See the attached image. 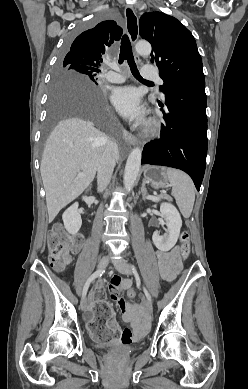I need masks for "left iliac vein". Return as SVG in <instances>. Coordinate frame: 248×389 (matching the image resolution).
<instances>
[{
	"instance_id": "4c4485c4",
	"label": "left iliac vein",
	"mask_w": 248,
	"mask_h": 389,
	"mask_svg": "<svg viewBox=\"0 0 248 389\" xmlns=\"http://www.w3.org/2000/svg\"><path fill=\"white\" fill-rule=\"evenodd\" d=\"M115 268L117 269V271H119L122 274H125V275L132 274V270H131L130 266L124 261L116 262ZM146 308H147L148 313L151 314L152 310H153V306H152V302L148 299L146 300Z\"/></svg>"
}]
</instances>
